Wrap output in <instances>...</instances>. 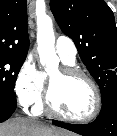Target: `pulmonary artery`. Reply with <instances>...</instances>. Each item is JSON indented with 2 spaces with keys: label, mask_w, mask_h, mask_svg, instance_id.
<instances>
[{
  "label": "pulmonary artery",
  "mask_w": 117,
  "mask_h": 136,
  "mask_svg": "<svg viewBox=\"0 0 117 136\" xmlns=\"http://www.w3.org/2000/svg\"><path fill=\"white\" fill-rule=\"evenodd\" d=\"M55 49L65 62H75L77 49L72 39L66 36H60L55 43Z\"/></svg>",
  "instance_id": "pulmonary-artery-1"
}]
</instances>
